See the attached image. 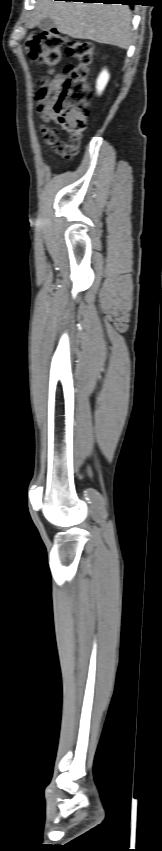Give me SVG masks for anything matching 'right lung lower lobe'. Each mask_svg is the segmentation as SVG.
<instances>
[{
	"mask_svg": "<svg viewBox=\"0 0 162 851\" xmlns=\"http://www.w3.org/2000/svg\"><path fill=\"white\" fill-rule=\"evenodd\" d=\"M65 1H83V2H101L104 4H122V5H133L136 0H65Z\"/></svg>",
	"mask_w": 162,
	"mask_h": 851,
	"instance_id": "1",
	"label": "right lung lower lobe"
}]
</instances>
